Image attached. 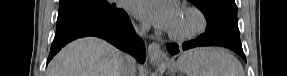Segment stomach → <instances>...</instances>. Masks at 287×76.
Here are the masks:
<instances>
[{
    "mask_svg": "<svg viewBox=\"0 0 287 76\" xmlns=\"http://www.w3.org/2000/svg\"><path fill=\"white\" fill-rule=\"evenodd\" d=\"M165 65L172 73H175L181 69V65L179 62L168 61L165 63Z\"/></svg>",
    "mask_w": 287,
    "mask_h": 76,
    "instance_id": "1",
    "label": "stomach"
}]
</instances>
